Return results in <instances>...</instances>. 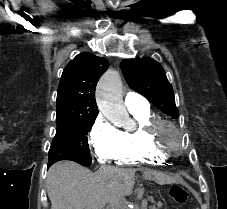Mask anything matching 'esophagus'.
Wrapping results in <instances>:
<instances>
[{
    "label": "esophagus",
    "mask_w": 227,
    "mask_h": 209,
    "mask_svg": "<svg viewBox=\"0 0 227 209\" xmlns=\"http://www.w3.org/2000/svg\"><path fill=\"white\" fill-rule=\"evenodd\" d=\"M141 176H145V173H141Z\"/></svg>",
    "instance_id": "34e87169"
}]
</instances>
